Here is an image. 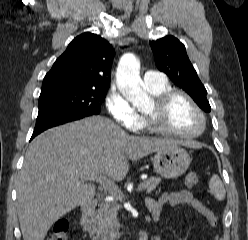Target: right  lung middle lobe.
I'll return each instance as SVG.
<instances>
[{
    "label": "right lung middle lobe",
    "mask_w": 248,
    "mask_h": 240,
    "mask_svg": "<svg viewBox=\"0 0 248 240\" xmlns=\"http://www.w3.org/2000/svg\"><path fill=\"white\" fill-rule=\"evenodd\" d=\"M106 90L63 88L40 94L38 115H80L100 113Z\"/></svg>",
    "instance_id": "right-lung-middle-lobe-1"
}]
</instances>
